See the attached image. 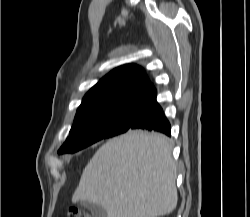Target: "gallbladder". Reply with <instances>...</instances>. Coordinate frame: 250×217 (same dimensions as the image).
<instances>
[{"instance_id":"obj_1","label":"gallbladder","mask_w":250,"mask_h":217,"mask_svg":"<svg viewBox=\"0 0 250 217\" xmlns=\"http://www.w3.org/2000/svg\"><path fill=\"white\" fill-rule=\"evenodd\" d=\"M81 205L91 212L92 217H106L105 209L98 204L82 201Z\"/></svg>"}]
</instances>
